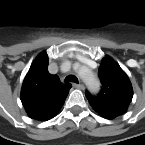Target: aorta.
I'll use <instances>...</instances> for the list:
<instances>
[{
	"label": "aorta",
	"mask_w": 145,
	"mask_h": 145,
	"mask_svg": "<svg viewBox=\"0 0 145 145\" xmlns=\"http://www.w3.org/2000/svg\"><path fill=\"white\" fill-rule=\"evenodd\" d=\"M80 76L84 83L93 91L99 89V81L90 69H85V71L80 73Z\"/></svg>",
	"instance_id": "762f6f07"
}]
</instances>
